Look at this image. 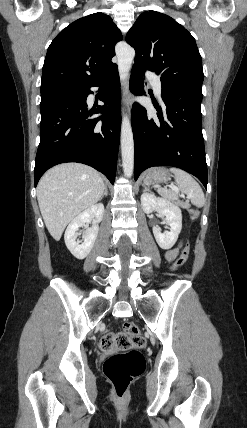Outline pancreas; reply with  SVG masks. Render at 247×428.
Listing matches in <instances>:
<instances>
[{
  "label": "pancreas",
  "instance_id": "cf45deb5",
  "mask_svg": "<svg viewBox=\"0 0 247 428\" xmlns=\"http://www.w3.org/2000/svg\"><path fill=\"white\" fill-rule=\"evenodd\" d=\"M176 203H177V205H179L180 207H182L184 209H189L190 208V205H189L188 202L177 201Z\"/></svg>",
  "mask_w": 247,
  "mask_h": 428
}]
</instances>
